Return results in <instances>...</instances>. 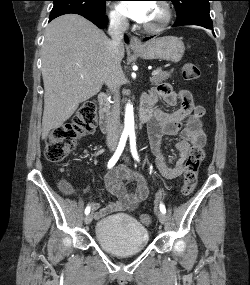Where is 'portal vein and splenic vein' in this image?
Here are the masks:
<instances>
[{
    "mask_svg": "<svg viewBox=\"0 0 250 285\" xmlns=\"http://www.w3.org/2000/svg\"><path fill=\"white\" fill-rule=\"evenodd\" d=\"M158 73H159V70H154V71H152L151 75H152V76H155V75H157Z\"/></svg>",
    "mask_w": 250,
    "mask_h": 285,
    "instance_id": "portal-vein-and-splenic-vein-1",
    "label": "portal vein and splenic vein"
}]
</instances>
